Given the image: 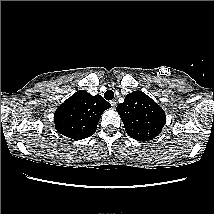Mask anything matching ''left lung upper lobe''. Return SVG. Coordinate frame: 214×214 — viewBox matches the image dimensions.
Returning <instances> with one entry per match:
<instances>
[{
    "label": "left lung upper lobe",
    "mask_w": 214,
    "mask_h": 214,
    "mask_svg": "<svg viewBox=\"0 0 214 214\" xmlns=\"http://www.w3.org/2000/svg\"><path fill=\"white\" fill-rule=\"evenodd\" d=\"M126 133L138 141H149L159 135L166 123L163 109L142 91L126 95L116 108Z\"/></svg>",
    "instance_id": "obj_1"
}]
</instances>
